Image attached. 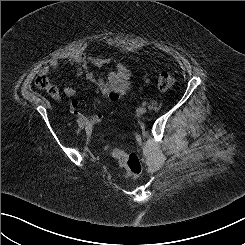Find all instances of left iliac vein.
Segmentation results:
<instances>
[{
    "label": "left iliac vein",
    "instance_id": "left-iliac-vein-1",
    "mask_svg": "<svg viewBox=\"0 0 245 245\" xmlns=\"http://www.w3.org/2000/svg\"><path fill=\"white\" fill-rule=\"evenodd\" d=\"M138 111H139L140 114H144V113L147 112V109H146L145 107H140V108L138 109Z\"/></svg>",
    "mask_w": 245,
    "mask_h": 245
}]
</instances>
